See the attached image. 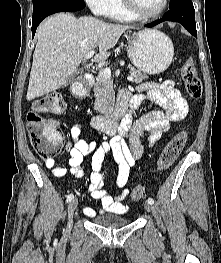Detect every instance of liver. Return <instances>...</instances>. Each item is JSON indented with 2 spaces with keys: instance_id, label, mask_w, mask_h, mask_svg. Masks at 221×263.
<instances>
[{
  "instance_id": "liver-1",
  "label": "liver",
  "mask_w": 221,
  "mask_h": 263,
  "mask_svg": "<svg viewBox=\"0 0 221 263\" xmlns=\"http://www.w3.org/2000/svg\"><path fill=\"white\" fill-rule=\"evenodd\" d=\"M130 28L91 16L77 19L68 13L46 19L37 29L26 99L33 100L63 86L77 72L85 55L96 47L99 52L94 61H105L108 51Z\"/></svg>"
}]
</instances>
